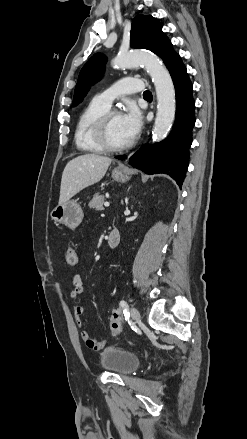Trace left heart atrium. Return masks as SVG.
Listing matches in <instances>:
<instances>
[{"label": "left heart atrium", "mask_w": 247, "mask_h": 439, "mask_svg": "<svg viewBox=\"0 0 247 439\" xmlns=\"http://www.w3.org/2000/svg\"><path fill=\"white\" fill-rule=\"evenodd\" d=\"M121 122L130 140L134 139L142 127V116L139 109L134 104L128 105L121 115Z\"/></svg>", "instance_id": "1"}]
</instances>
